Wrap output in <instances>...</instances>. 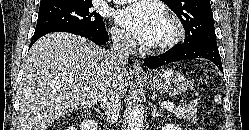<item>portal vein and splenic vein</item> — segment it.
Wrapping results in <instances>:
<instances>
[{"mask_svg": "<svg viewBox=\"0 0 249 130\" xmlns=\"http://www.w3.org/2000/svg\"><path fill=\"white\" fill-rule=\"evenodd\" d=\"M160 106L163 109H172L175 107V104L174 103H162Z\"/></svg>", "mask_w": 249, "mask_h": 130, "instance_id": "portal-vein-and-splenic-vein-1", "label": "portal vein and splenic vein"}]
</instances>
